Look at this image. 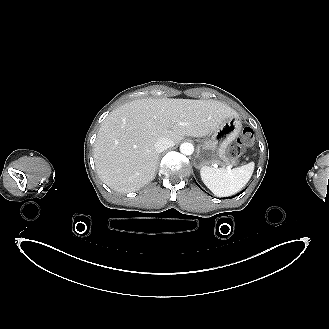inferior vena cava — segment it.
<instances>
[{"instance_id":"inferior-vena-cava-1","label":"inferior vena cava","mask_w":329,"mask_h":329,"mask_svg":"<svg viewBox=\"0 0 329 329\" xmlns=\"http://www.w3.org/2000/svg\"><path fill=\"white\" fill-rule=\"evenodd\" d=\"M172 146H174V142L167 137H162L158 139L155 143V149L158 153H161Z\"/></svg>"}]
</instances>
